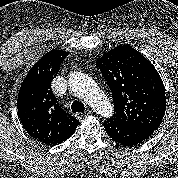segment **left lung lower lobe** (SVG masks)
<instances>
[{
    "label": "left lung lower lobe",
    "instance_id": "1",
    "mask_svg": "<svg viewBox=\"0 0 178 178\" xmlns=\"http://www.w3.org/2000/svg\"><path fill=\"white\" fill-rule=\"evenodd\" d=\"M107 134L121 145L133 147L147 138L157 129L150 125L109 119L103 123Z\"/></svg>",
    "mask_w": 178,
    "mask_h": 178
}]
</instances>
